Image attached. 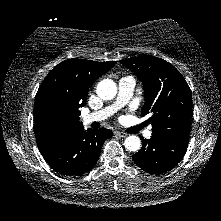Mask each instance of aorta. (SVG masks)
<instances>
[{
    "label": "aorta",
    "mask_w": 221,
    "mask_h": 221,
    "mask_svg": "<svg viewBox=\"0 0 221 221\" xmlns=\"http://www.w3.org/2000/svg\"><path fill=\"white\" fill-rule=\"evenodd\" d=\"M96 93L103 100H111L117 94V86L113 80L104 79L98 83ZM124 145L127 150L134 152L140 149L141 140L135 135L128 136Z\"/></svg>",
    "instance_id": "762f6f07"
}]
</instances>
